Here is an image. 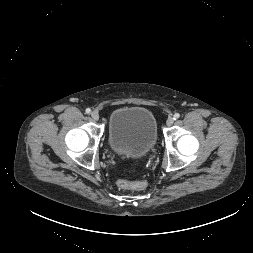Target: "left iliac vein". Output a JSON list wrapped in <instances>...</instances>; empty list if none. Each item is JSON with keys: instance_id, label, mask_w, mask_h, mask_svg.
<instances>
[{"instance_id": "4c4485c4", "label": "left iliac vein", "mask_w": 253, "mask_h": 253, "mask_svg": "<svg viewBox=\"0 0 253 253\" xmlns=\"http://www.w3.org/2000/svg\"><path fill=\"white\" fill-rule=\"evenodd\" d=\"M174 123V118L173 117H169L166 121L167 126H171Z\"/></svg>"}]
</instances>
